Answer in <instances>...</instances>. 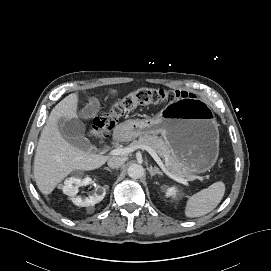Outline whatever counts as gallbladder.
Listing matches in <instances>:
<instances>
[{
    "label": "gallbladder",
    "mask_w": 271,
    "mask_h": 271,
    "mask_svg": "<svg viewBox=\"0 0 271 271\" xmlns=\"http://www.w3.org/2000/svg\"><path fill=\"white\" fill-rule=\"evenodd\" d=\"M58 129L63 138L71 145L83 151H93L95 147L84 136L85 125L75 118H61L58 120Z\"/></svg>",
    "instance_id": "1"
}]
</instances>
